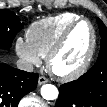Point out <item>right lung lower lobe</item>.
<instances>
[{
	"label": "right lung lower lobe",
	"instance_id": "98d812e1",
	"mask_svg": "<svg viewBox=\"0 0 107 107\" xmlns=\"http://www.w3.org/2000/svg\"><path fill=\"white\" fill-rule=\"evenodd\" d=\"M37 82V73H28L1 63L0 107H17L19 100L36 88Z\"/></svg>",
	"mask_w": 107,
	"mask_h": 107
}]
</instances>
